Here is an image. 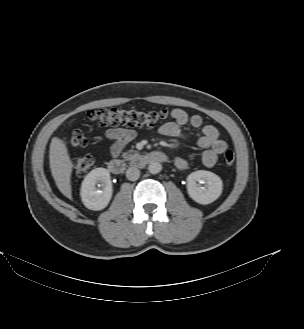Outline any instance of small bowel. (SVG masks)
<instances>
[{"label": "small bowel", "instance_id": "c3829d8e", "mask_svg": "<svg viewBox=\"0 0 304 329\" xmlns=\"http://www.w3.org/2000/svg\"><path fill=\"white\" fill-rule=\"evenodd\" d=\"M167 122L158 127L159 134L170 137L187 139L189 133L186 126L201 130V136L197 140V145L204 149L201 161L206 167H212L216 164L218 157L227 150V143L220 138L217 128L211 124H204L203 118L198 114L190 115L181 108H174L169 113ZM136 133L130 128L112 127L106 130L105 139L110 144L109 155L113 158L118 157L124 148L134 140ZM175 165L181 170L189 167V161L176 157Z\"/></svg>", "mask_w": 304, "mask_h": 329}]
</instances>
